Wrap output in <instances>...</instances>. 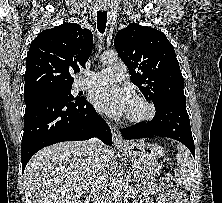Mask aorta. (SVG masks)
<instances>
[{
    "mask_svg": "<svg viewBox=\"0 0 222 203\" xmlns=\"http://www.w3.org/2000/svg\"><path fill=\"white\" fill-rule=\"evenodd\" d=\"M118 60V54L115 51H109L101 55V61L105 64H113ZM125 183L123 178L116 176L112 181V192L115 203H119L123 196Z\"/></svg>",
    "mask_w": 222,
    "mask_h": 203,
    "instance_id": "1",
    "label": "aorta"
}]
</instances>
